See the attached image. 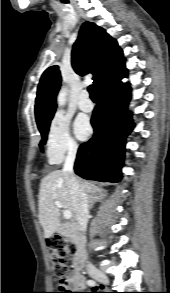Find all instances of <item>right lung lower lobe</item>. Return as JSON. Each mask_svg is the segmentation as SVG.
Segmentation results:
<instances>
[{
  "label": "right lung lower lobe",
  "mask_w": 170,
  "mask_h": 293,
  "mask_svg": "<svg viewBox=\"0 0 170 293\" xmlns=\"http://www.w3.org/2000/svg\"><path fill=\"white\" fill-rule=\"evenodd\" d=\"M127 71L108 79L98 89L99 104L91 119L93 137L78 150L74 170L88 180L120 182L125 153V138L134 128L127 110L130 98L120 90L130 91L129 84L120 79Z\"/></svg>",
  "instance_id": "98d812e1"
}]
</instances>
